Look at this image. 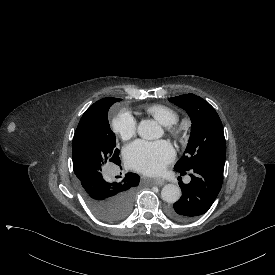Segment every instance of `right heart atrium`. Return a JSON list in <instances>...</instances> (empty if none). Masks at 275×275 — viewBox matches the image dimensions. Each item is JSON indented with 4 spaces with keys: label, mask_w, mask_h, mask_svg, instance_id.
I'll return each instance as SVG.
<instances>
[{
    "label": "right heart atrium",
    "mask_w": 275,
    "mask_h": 275,
    "mask_svg": "<svg viewBox=\"0 0 275 275\" xmlns=\"http://www.w3.org/2000/svg\"><path fill=\"white\" fill-rule=\"evenodd\" d=\"M111 129L122 141H129L136 134V122L130 114L121 113L112 120Z\"/></svg>",
    "instance_id": "obj_1"
}]
</instances>
